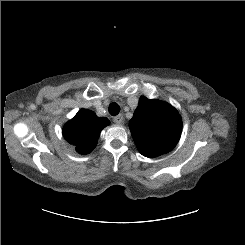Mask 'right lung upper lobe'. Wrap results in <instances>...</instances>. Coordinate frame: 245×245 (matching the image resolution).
Masks as SVG:
<instances>
[{
    "label": "right lung upper lobe",
    "instance_id": "obj_1",
    "mask_svg": "<svg viewBox=\"0 0 245 245\" xmlns=\"http://www.w3.org/2000/svg\"><path fill=\"white\" fill-rule=\"evenodd\" d=\"M109 120L97 117L92 111L81 109L63 127V136L80 154L90 153L96 146L99 134Z\"/></svg>",
    "mask_w": 245,
    "mask_h": 245
}]
</instances>
